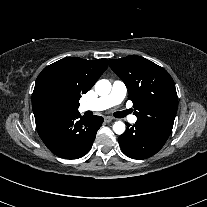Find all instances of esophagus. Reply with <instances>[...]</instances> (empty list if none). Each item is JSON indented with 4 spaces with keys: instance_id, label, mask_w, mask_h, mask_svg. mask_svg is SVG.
<instances>
[{
    "instance_id": "34e87169",
    "label": "esophagus",
    "mask_w": 207,
    "mask_h": 207,
    "mask_svg": "<svg viewBox=\"0 0 207 207\" xmlns=\"http://www.w3.org/2000/svg\"><path fill=\"white\" fill-rule=\"evenodd\" d=\"M104 121H105L106 123H109V122L112 121V118H111L110 116H106V117H104Z\"/></svg>"
}]
</instances>
